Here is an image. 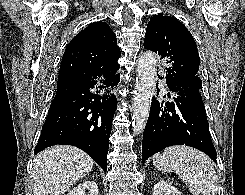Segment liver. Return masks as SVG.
I'll return each instance as SVG.
<instances>
[{"label":"liver","instance_id":"1","mask_svg":"<svg viewBox=\"0 0 245 195\" xmlns=\"http://www.w3.org/2000/svg\"><path fill=\"white\" fill-rule=\"evenodd\" d=\"M93 159L84 151L69 145L48 148L33 163L34 195H63L93 168Z\"/></svg>","mask_w":245,"mask_h":195}]
</instances>
